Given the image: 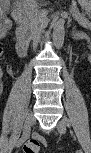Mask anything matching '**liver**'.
<instances>
[{"label": "liver", "mask_w": 91, "mask_h": 153, "mask_svg": "<svg viewBox=\"0 0 91 153\" xmlns=\"http://www.w3.org/2000/svg\"><path fill=\"white\" fill-rule=\"evenodd\" d=\"M4 2H5V4L9 5V0H5ZM26 5H29L30 6V10H33V13H35L36 8H37L35 0H28L26 3H24V6H26Z\"/></svg>", "instance_id": "6515ba94"}]
</instances>
